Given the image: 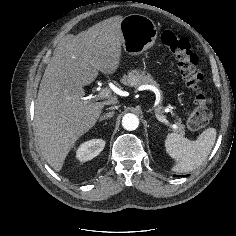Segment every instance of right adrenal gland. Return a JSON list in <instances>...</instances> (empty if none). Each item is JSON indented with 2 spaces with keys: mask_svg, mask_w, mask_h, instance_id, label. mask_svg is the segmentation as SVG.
I'll use <instances>...</instances> for the list:
<instances>
[{
  "mask_svg": "<svg viewBox=\"0 0 236 236\" xmlns=\"http://www.w3.org/2000/svg\"><path fill=\"white\" fill-rule=\"evenodd\" d=\"M113 115H114V112L106 113L104 116L100 117V120H99V121H103V120H106V119H110Z\"/></svg>",
  "mask_w": 236,
  "mask_h": 236,
  "instance_id": "right-adrenal-gland-1",
  "label": "right adrenal gland"
}]
</instances>
